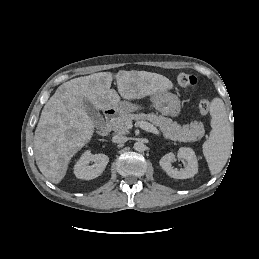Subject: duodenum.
I'll list each match as a JSON object with an SVG mask.
<instances>
[{
  "label": "duodenum",
  "instance_id": "obj_1",
  "mask_svg": "<svg viewBox=\"0 0 259 259\" xmlns=\"http://www.w3.org/2000/svg\"><path fill=\"white\" fill-rule=\"evenodd\" d=\"M118 110L115 108H109L105 111V124L99 129V134L105 136L111 131V124L117 117Z\"/></svg>",
  "mask_w": 259,
  "mask_h": 259
}]
</instances>
